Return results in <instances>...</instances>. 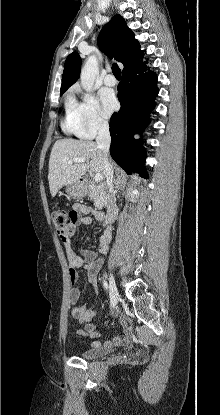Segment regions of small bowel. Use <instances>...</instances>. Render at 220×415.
Listing matches in <instances>:
<instances>
[{
    "label": "small bowel",
    "instance_id": "small-bowel-1",
    "mask_svg": "<svg viewBox=\"0 0 220 415\" xmlns=\"http://www.w3.org/2000/svg\"><path fill=\"white\" fill-rule=\"evenodd\" d=\"M70 212L72 216L67 229L63 234H58L66 248L69 264V278L71 282L75 284L80 278V269H84L86 271L87 280L94 286L95 292L97 293V272L109 251L112 237L111 227H108L101 235L97 250L77 251L71 244V237L74 235L76 227L80 224L90 225L92 224L93 219L101 221L104 218V214L103 212L84 204H74ZM80 298L81 290L74 287L71 291L72 303H77ZM71 314L76 321L85 326L84 330L78 331L79 334H84L91 338H98L100 336L97 326L92 322L98 314L94 308L86 306L74 307ZM115 317L122 326V334L103 343L94 341L91 345L109 349L126 345L129 342V335L131 332L130 326L120 313H115Z\"/></svg>",
    "mask_w": 220,
    "mask_h": 415
}]
</instances>
